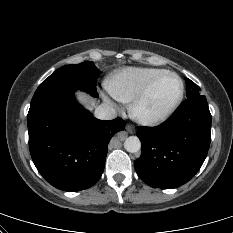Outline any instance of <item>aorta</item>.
Instances as JSON below:
<instances>
[{"label": "aorta", "instance_id": "aorta-1", "mask_svg": "<svg viewBox=\"0 0 233 233\" xmlns=\"http://www.w3.org/2000/svg\"><path fill=\"white\" fill-rule=\"evenodd\" d=\"M124 148L130 153L138 152L141 148V142L137 136H130L125 140Z\"/></svg>", "mask_w": 233, "mask_h": 233}]
</instances>
